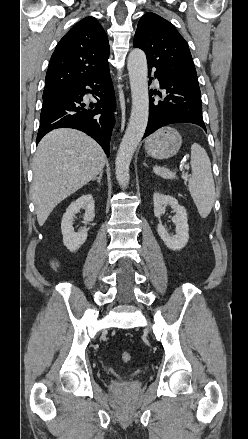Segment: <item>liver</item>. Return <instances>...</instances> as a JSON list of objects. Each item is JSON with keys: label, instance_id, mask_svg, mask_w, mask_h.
<instances>
[{"label": "liver", "instance_id": "1", "mask_svg": "<svg viewBox=\"0 0 248 439\" xmlns=\"http://www.w3.org/2000/svg\"><path fill=\"white\" fill-rule=\"evenodd\" d=\"M105 162L100 145L81 131L61 128L45 135L32 167L31 196L38 224L43 226L60 202L93 180Z\"/></svg>", "mask_w": 248, "mask_h": 439}]
</instances>
